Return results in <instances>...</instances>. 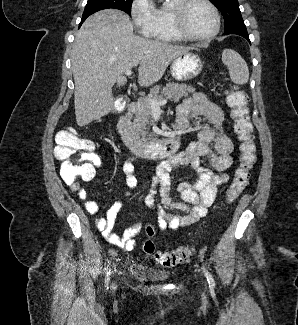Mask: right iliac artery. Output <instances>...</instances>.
Masks as SVG:
<instances>
[{
  "label": "right iliac artery",
  "instance_id": "1",
  "mask_svg": "<svg viewBox=\"0 0 298 325\" xmlns=\"http://www.w3.org/2000/svg\"><path fill=\"white\" fill-rule=\"evenodd\" d=\"M110 275H111V272L109 270V272H107L106 277H105V287L108 286V283H109V280H110Z\"/></svg>",
  "mask_w": 298,
  "mask_h": 325
}]
</instances>
